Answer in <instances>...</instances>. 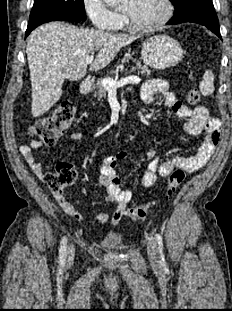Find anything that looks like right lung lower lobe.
Listing matches in <instances>:
<instances>
[{
    "instance_id": "right-lung-lower-lobe-1",
    "label": "right lung lower lobe",
    "mask_w": 232,
    "mask_h": 311,
    "mask_svg": "<svg viewBox=\"0 0 232 311\" xmlns=\"http://www.w3.org/2000/svg\"><path fill=\"white\" fill-rule=\"evenodd\" d=\"M58 20H69V21H76V22L84 21L82 19L76 18V17L69 15V14L54 13V14L43 15V16L29 20L28 27L26 30V37L37 26H39L43 23L49 22V21H58Z\"/></svg>"
}]
</instances>
